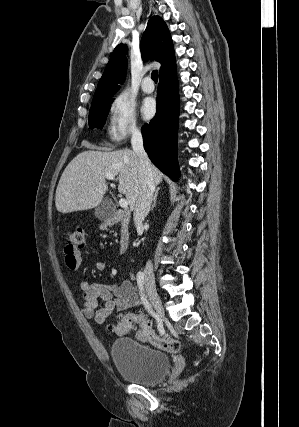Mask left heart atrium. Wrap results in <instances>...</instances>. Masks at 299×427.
Instances as JSON below:
<instances>
[{
  "label": "left heart atrium",
  "mask_w": 299,
  "mask_h": 427,
  "mask_svg": "<svg viewBox=\"0 0 299 427\" xmlns=\"http://www.w3.org/2000/svg\"><path fill=\"white\" fill-rule=\"evenodd\" d=\"M156 111V105L153 99H146L141 107L142 115L145 119H150L153 117Z\"/></svg>",
  "instance_id": "left-heart-atrium-1"
}]
</instances>
